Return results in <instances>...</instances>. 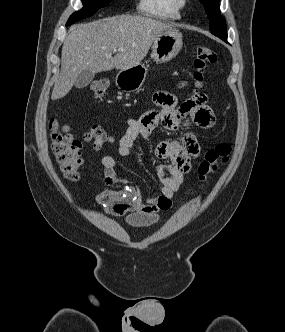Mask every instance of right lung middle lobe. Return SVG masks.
<instances>
[{"instance_id":"dd1d6c3e","label":"right lung middle lobe","mask_w":285,"mask_h":332,"mask_svg":"<svg viewBox=\"0 0 285 332\" xmlns=\"http://www.w3.org/2000/svg\"><path fill=\"white\" fill-rule=\"evenodd\" d=\"M111 1L112 0H82L83 8L70 16L66 26L93 15L99 8L104 7Z\"/></svg>"}]
</instances>
